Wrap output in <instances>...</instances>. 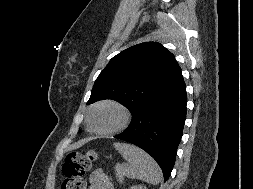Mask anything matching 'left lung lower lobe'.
I'll return each mask as SVG.
<instances>
[{
	"label": "left lung lower lobe",
	"mask_w": 253,
	"mask_h": 189,
	"mask_svg": "<svg viewBox=\"0 0 253 189\" xmlns=\"http://www.w3.org/2000/svg\"><path fill=\"white\" fill-rule=\"evenodd\" d=\"M186 88L182 74L161 95L140 109L128 128L115 138L130 142L148 152L159 164L166 181L186 119Z\"/></svg>",
	"instance_id": "left-lung-lower-lobe-1"
}]
</instances>
